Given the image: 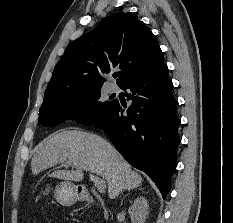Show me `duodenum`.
<instances>
[{
    "label": "duodenum",
    "instance_id": "obj_1",
    "mask_svg": "<svg viewBox=\"0 0 233 223\" xmlns=\"http://www.w3.org/2000/svg\"><path fill=\"white\" fill-rule=\"evenodd\" d=\"M78 199L87 203H93L94 199L87 190H81L78 193Z\"/></svg>",
    "mask_w": 233,
    "mask_h": 223
}]
</instances>
